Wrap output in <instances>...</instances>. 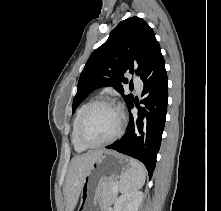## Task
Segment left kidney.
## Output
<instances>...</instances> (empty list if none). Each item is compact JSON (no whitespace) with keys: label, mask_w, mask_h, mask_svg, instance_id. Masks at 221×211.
Wrapping results in <instances>:
<instances>
[{"label":"left kidney","mask_w":221,"mask_h":211,"mask_svg":"<svg viewBox=\"0 0 221 211\" xmlns=\"http://www.w3.org/2000/svg\"><path fill=\"white\" fill-rule=\"evenodd\" d=\"M143 193L140 191L122 194L114 204V211H138Z\"/></svg>","instance_id":"obj_1"}]
</instances>
